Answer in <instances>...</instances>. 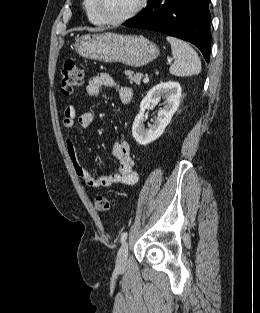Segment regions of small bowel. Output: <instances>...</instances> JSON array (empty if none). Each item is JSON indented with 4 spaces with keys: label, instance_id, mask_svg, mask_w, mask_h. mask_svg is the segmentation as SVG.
<instances>
[{
    "label": "small bowel",
    "instance_id": "small-bowel-1",
    "mask_svg": "<svg viewBox=\"0 0 260 313\" xmlns=\"http://www.w3.org/2000/svg\"><path fill=\"white\" fill-rule=\"evenodd\" d=\"M104 87H116L121 103L128 104L132 101V89L127 86H118L114 78L107 73H100L91 77L86 86V93L89 97L96 98ZM76 116L75 107L72 105L67 106L63 115L64 127L72 129L75 125ZM93 120L94 116L90 111L84 112L78 117L79 125L85 129L92 125ZM65 146L75 174L90 188L97 189L116 184L133 185L138 181V174L134 169V160L131 156L130 146L126 142L117 141L113 144L112 154L118 160V168L116 172L110 175H94L86 170L80 163L76 143L72 137L66 139Z\"/></svg>",
    "mask_w": 260,
    "mask_h": 313
}]
</instances>
